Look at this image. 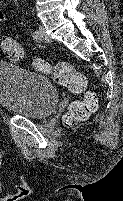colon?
I'll return each instance as SVG.
<instances>
[{
  "mask_svg": "<svg viewBox=\"0 0 123 201\" xmlns=\"http://www.w3.org/2000/svg\"><path fill=\"white\" fill-rule=\"evenodd\" d=\"M1 48L5 56L12 62L19 63L25 59L24 51L15 39H3ZM34 65L40 71L51 75L53 80L61 86H65L75 92H81L85 89V77L68 63L50 65L42 60H37ZM97 105V97L88 92L84 100L71 103L64 120L68 125L85 121L96 110Z\"/></svg>",
  "mask_w": 123,
  "mask_h": 201,
  "instance_id": "1",
  "label": "colon"
}]
</instances>
